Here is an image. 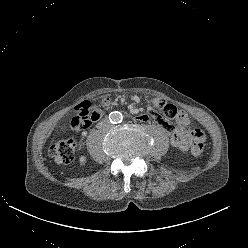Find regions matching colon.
<instances>
[{
	"label": "colon",
	"mask_w": 248,
	"mask_h": 248,
	"mask_svg": "<svg viewBox=\"0 0 248 248\" xmlns=\"http://www.w3.org/2000/svg\"><path fill=\"white\" fill-rule=\"evenodd\" d=\"M97 114L98 109L93 108L88 101L78 104L71 119V128L75 131L86 130L95 121ZM191 136L193 140L191 153L195 156L202 155L205 147V134L200 129H193ZM76 148L77 143L74 139L63 137L49 146V153L58 164L67 165L73 161Z\"/></svg>",
	"instance_id": "1"
}]
</instances>
